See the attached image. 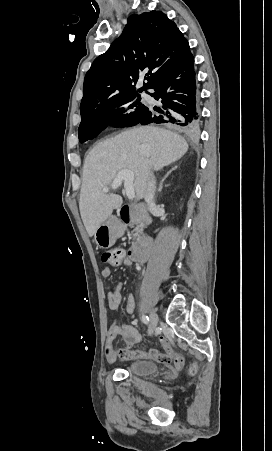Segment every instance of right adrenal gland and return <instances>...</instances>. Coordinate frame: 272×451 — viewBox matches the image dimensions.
<instances>
[{"label": "right adrenal gland", "mask_w": 272, "mask_h": 451, "mask_svg": "<svg viewBox=\"0 0 272 451\" xmlns=\"http://www.w3.org/2000/svg\"><path fill=\"white\" fill-rule=\"evenodd\" d=\"M176 168H178V166H174V168H172V170H169V172H167L166 176H164L163 180H161V182L159 184L158 192H162L164 180H166V178H168L169 174H171V172H173V170H176Z\"/></svg>", "instance_id": "1"}]
</instances>
